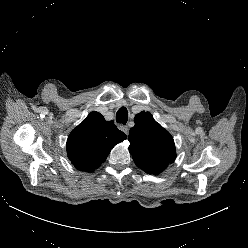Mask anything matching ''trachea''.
<instances>
[{
	"mask_svg": "<svg viewBox=\"0 0 248 248\" xmlns=\"http://www.w3.org/2000/svg\"><path fill=\"white\" fill-rule=\"evenodd\" d=\"M128 120V111L125 107H121L116 114V121L125 125Z\"/></svg>",
	"mask_w": 248,
	"mask_h": 248,
	"instance_id": "obj_1",
	"label": "trachea"
}]
</instances>
